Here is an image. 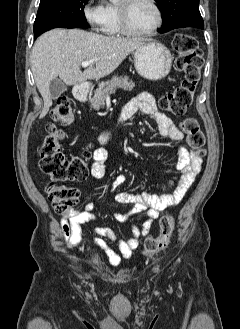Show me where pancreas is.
Here are the masks:
<instances>
[{
  "label": "pancreas",
  "mask_w": 240,
  "mask_h": 329,
  "mask_svg": "<svg viewBox=\"0 0 240 329\" xmlns=\"http://www.w3.org/2000/svg\"><path fill=\"white\" fill-rule=\"evenodd\" d=\"M134 87L135 84L129 81L127 76H114L111 80L100 83L99 87L94 91V95L89 98V103L92 108L99 110L104 106L107 93H113L117 88L131 91Z\"/></svg>",
  "instance_id": "obj_1"
}]
</instances>
